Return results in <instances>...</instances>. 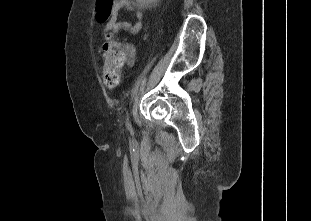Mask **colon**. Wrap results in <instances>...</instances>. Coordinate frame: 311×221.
<instances>
[{"mask_svg": "<svg viewBox=\"0 0 311 221\" xmlns=\"http://www.w3.org/2000/svg\"><path fill=\"white\" fill-rule=\"evenodd\" d=\"M118 4V0H101L97 2L100 10H95V21L99 26H104L106 21L104 17H110L111 8ZM100 58L103 61L102 75L106 87H115L121 76L128 52L127 48L121 46L113 37L112 33L103 37L98 49Z\"/></svg>", "mask_w": 311, "mask_h": 221, "instance_id": "1", "label": "colon"}]
</instances>
